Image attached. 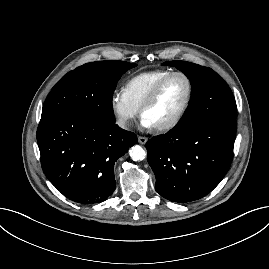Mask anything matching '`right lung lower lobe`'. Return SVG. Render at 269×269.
I'll return each instance as SVG.
<instances>
[{
	"label": "right lung lower lobe",
	"instance_id": "1",
	"mask_svg": "<svg viewBox=\"0 0 269 269\" xmlns=\"http://www.w3.org/2000/svg\"><path fill=\"white\" fill-rule=\"evenodd\" d=\"M41 166L66 198L79 204L106 200L115 189L114 164L137 143L134 133L71 113L41 117Z\"/></svg>",
	"mask_w": 269,
	"mask_h": 269
}]
</instances>
